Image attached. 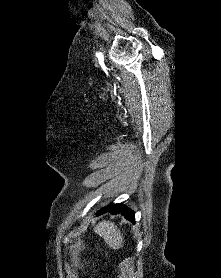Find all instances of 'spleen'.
<instances>
[{
	"label": "spleen",
	"mask_w": 221,
	"mask_h": 278,
	"mask_svg": "<svg viewBox=\"0 0 221 278\" xmlns=\"http://www.w3.org/2000/svg\"><path fill=\"white\" fill-rule=\"evenodd\" d=\"M94 231L110 248L118 250L123 247V236L114 223L102 221L94 228Z\"/></svg>",
	"instance_id": "obj_1"
}]
</instances>
